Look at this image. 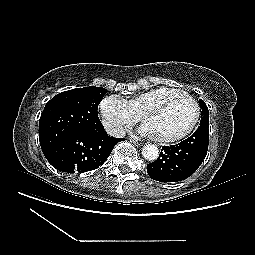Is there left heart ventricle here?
Segmentation results:
<instances>
[{"label": "left heart ventricle", "instance_id": "b2bd125f", "mask_svg": "<svg viewBox=\"0 0 255 255\" xmlns=\"http://www.w3.org/2000/svg\"><path fill=\"white\" fill-rule=\"evenodd\" d=\"M194 114V107L189 101L175 97L148 113L144 123L152 128L155 136H171L188 128Z\"/></svg>", "mask_w": 255, "mask_h": 255}]
</instances>
